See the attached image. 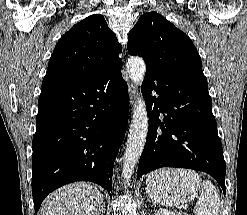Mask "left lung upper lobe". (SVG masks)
I'll use <instances>...</instances> for the list:
<instances>
[{
    "mask_svg": "<svg viewBox=\"0 0 247 215\" xmlns=\"http://www.w3.org/2000/svg\"><path fill=\"white\" fill-rule=\"evenodd\" d=\"M128 37L129 54L141 56L146 67L208 85L191 39L160 14H143Z\"/></svg>",
    "mask_w": 247,
    "mask_h": 215,
    "instance_id": "obj_1",
    "label": "left lung upper lobe"
}]
</instances>
